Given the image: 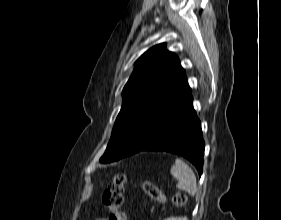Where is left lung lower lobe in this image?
Masks as SVG:
<instances>
[{
    "label": "left lung lower lobe",
    "instance_id": "0a47b994",
    "mask_svg": "<svg viewBox=\"0 0 281 220\" xmlns=\"http://www.w3.org/2000/svg\"><path fill=\"white\" fill-rule=\"evenodd\" d=\"M204 147L201 123L193 108L192 93L188 87L168 110L151 141L137 152L165 151L181 155L196 167L200 176Z\"/></svg>",
    "mask_w": 281,
    "mask_h": 220
}]
</instances>
